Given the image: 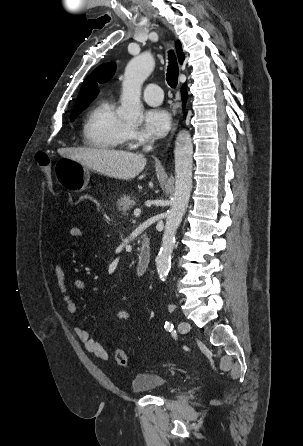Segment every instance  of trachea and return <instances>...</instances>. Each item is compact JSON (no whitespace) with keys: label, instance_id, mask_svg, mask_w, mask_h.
Segmentation results:
<instances>
[{"label":"trachea","instance_id":"obj_1","mask_svg":"<svg viewBox=\"0 0 303 446\" xmlns=\"http://www.w3.org/2000/svg\"><path fill=\"white\" fill-rule=\"evenodd\" d=\"M168 59H169V65L167 69L166 80L171 88H176L178 84L179 69L176 56L172 50L169 51Z\"/></svg>","mask_w":303,"mask_h":446}]
</instances>
